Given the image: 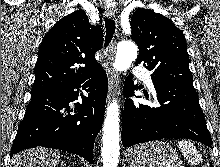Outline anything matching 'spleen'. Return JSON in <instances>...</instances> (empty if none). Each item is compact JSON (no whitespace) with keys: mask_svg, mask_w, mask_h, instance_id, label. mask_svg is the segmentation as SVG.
I'll return each instance as SVG.
<instances>
[{"mask_svg":"<svg viewBox=\"0 0 220 167\" xmlns=\"http://www.w3.org/2000/svg\"><path fill=\"white\" fill-rule=\"evenodd\" d=\"M177 146L181 150L186 160L191 164L197 165L202 162V155L199 153L192 142L181 140L177 143Z\"/></svg>","mask_w":220,"mask_h":167,"instance_id":"spleen-1","label":"spleen"}]
</instances>
